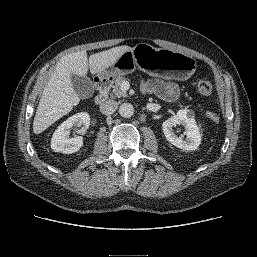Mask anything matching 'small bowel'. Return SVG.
Returning <instances> with one entry per match:
<instances>
[{"label": "small bowel", "mask_w": 257, "mask_h": 257, "mask_svg": "<svg viewBox=\"0 0 257 257\" xmlns=\"http://www.w3.org/2000/svg\"><path fill=\"white\" fill-rule=\"evenodd\" d=\"M142 87L146 93L155 94L166 101H174L179 96L178 85L174 82L150 79L144 81Z\"/></svg>", "instance_id": "small-bowel-1"}]
</instances>
